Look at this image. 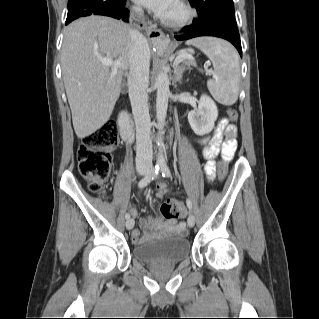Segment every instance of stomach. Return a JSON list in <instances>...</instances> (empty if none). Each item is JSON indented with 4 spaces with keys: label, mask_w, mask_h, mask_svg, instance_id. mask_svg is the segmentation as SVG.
I'll list each match as a JSON object with an SVG mask.
<instances>
[{
    "label": "stomach",
    "mask_w": 319,
    "mask_h": 319,
    "mask_svg": "<svg viewBox=\"0 0 319 319\" xmlns=\"http://www.w3.org/2000/svg\"><path fill=\"white\" fill-rule=\"evenodd\" d=\"M167 45H168V41H165V42L163 43V47L165 48V47H167Z\"/></svg>",
    "instance_id": "1"
}]
</instances>
